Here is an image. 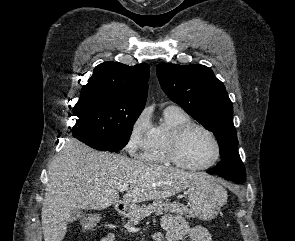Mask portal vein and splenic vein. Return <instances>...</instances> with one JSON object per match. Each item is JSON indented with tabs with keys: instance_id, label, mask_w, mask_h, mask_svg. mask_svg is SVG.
I'll list each match as a JSON object with an SVG mask.
<instances>
[{
	"instance_id": "18ae733b",
	"label": "portal vein and splenic vein",
	"mask_w": 295,
	"mask_h": 241,
	"mask_svg": "<svg viewBox=\"0 0 295 241\" xmlns=\"http://www.w3.org/2000/svg\"><path fill=\"white\" fill-rule=\"evenodd\" d=\"M127 189H128V185H127V184L120 185V186L118 187V190H119L120 192H125Z\"/></svg>"
}]
</instances>
